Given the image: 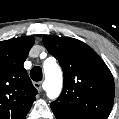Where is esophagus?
Returning <instances> with one entry per match:
<instances>
[{
  "mask_svg": "<svg viewBox=\"0 0 119 119\" xmlns=\"http://www.w3.org/2000/svg\"><path fill=\"white\" fill-rule=\"evenodd\" d=\"M33 85L39 92H41V90H42L41 82H34Z\"/></svg>",
  "mask_w": 119,
  "mask_h": 119,
  "instance_id": "34e87169",
  "label": "esophagus"
}]
</instances>
